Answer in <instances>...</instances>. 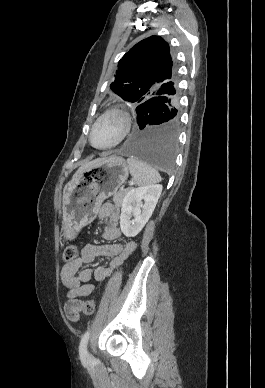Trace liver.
I'll use <instances>...</instances> for the list:
<instances>
[{
	"instance_id": "1",
	"label": "liver",
	"mask_w": 265,
	"mask_h": 388,
	"mask_svg": "<svg viewBox=\"0 0 265 388\" xmlns=\"http://www.w3.org/2000/svg\"><path fill=\"white\" fill-rule=\"evenodd\" d=\"M105 156H108V154H105ZM101 160H104V158H98V160H92V162H87V164H83L79 170H77L74 178L78 176V174H81V172H84V170H88V168H94V166H97V164H100Z\"/></svg>"
}]
</instances>
